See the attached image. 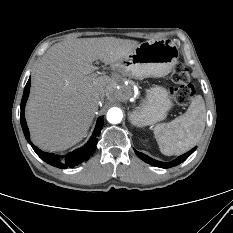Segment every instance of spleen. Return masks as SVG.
I'll return each instance as SVG.
<instances>
[{"label": "spleen", "mask_w": 233, "mask_h": 233, "mask_svg": "<svg viewBox=\"0 0 233 233\" xmlns=\"http://www.w3.org/2000/svg\"><path fill=\"white\" fill-rule=\"evenodd\" d=\"M205 122V103L202 96L197 95L183 115L169 123L158 124L154 128V136L160 151L167 156L187 152L201 138Z\"/></svg>", "instance_id": "3e777b00"}]
</instances>
